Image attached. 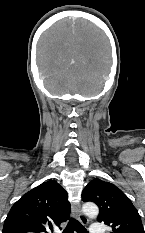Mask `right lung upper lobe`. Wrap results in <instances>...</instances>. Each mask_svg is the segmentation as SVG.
Listing matches in <instances>:
<instances>
[{
  "instance_id": "1",
  "label": "right lung upper lobe",
  "mask_w": 145,
  "mask_h": 233,
  "mask_svg": "<svg viewBox=\"0 0 145 233\" xmlns=\"http://www.w3.org/2000/svg\"><path fill=\"white\" fill-rule=\"evenodd\" d=\"M67 192L49 180L24 194L10 209L2 233H51L69 218Z\"/></svg>"
}]
</instances>
